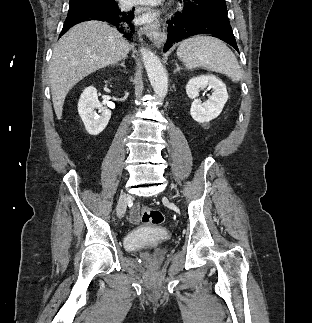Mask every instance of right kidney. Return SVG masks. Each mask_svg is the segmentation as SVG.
I'll return each mask as SVG.
<instances>
[{
    "mask_svg": "<svg viewBox=\"0 0 312 323\" xmlns=\"http://www.w3.org/2000/svg\"><path fill=\"white\" fill-rule=\"evenodd\" d=\"M95 110H98L99 114H96ZM78 112L90 136H98L103 132L111 118V110L102 108L93 86L83 90L78 102Z\"/></svg>",
    "mask_w": 312,
    "mask_h": 323,
    "instance_id": "obj_1",
    "label": "right kidney"
}]
</instances>
